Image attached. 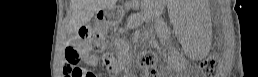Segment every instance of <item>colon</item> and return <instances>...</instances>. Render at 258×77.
<instances>
[{
    "instance_id": "obj_1",
    "label": "colon",
    "mask_w": 258,
    "mask_h": 77,
    "mask_svg": "<svg viewBox=\"0 0 258 77\" xmlns=\"http://www.w3.org/2000/svg\"><path fill=\"white\" fill-rule=\"evenodd\" d=\"M106 26L101 21L92 22L83 27L80 33L81 41L91 50H99L105 44ZM83 53L75 46L67 48L65 53L64 70L70 77H88V73L84 71L80 65ZM155 57L150 52H143L139 57V64L142 68L151 70L155 67ZM219 66V59L215 55L206 57L201 62V69L206 74H213Z\"/></svg>"
}]
</instances>
